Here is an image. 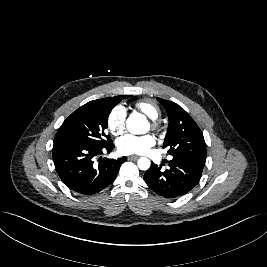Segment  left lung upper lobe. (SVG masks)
Listing matches in <instances>:
<instances>
[{
  "label": "left lung upper lobe",
  "instance_id": "obj_1",
  "mask_svg": "<svg viewBox=\"0 0 267 267\" xmlns=\"http://www.w3.org/2000/svg\"><path fill=\"white\" fill-rule=\"evenodd\" d=\"M165 108L168 118V131L163 143L168 154L205 163L206 144L203 134L191 116L174 102L157 98Z\"/></svg>",
  "mask_w": 267,
  "mask_h": 267
}]
</instances>
